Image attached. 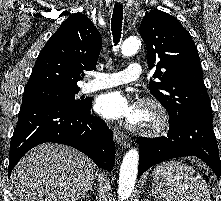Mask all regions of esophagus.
Returning a JSON list of instances; mask_svg holds the SVG:
<instances>
[{
	"label": "esophagus",
	"instance_id": "34e87169",
	"mask_svg": "<svg viewBox=\"0 0 221 201\" xmlns=\"http://www.w3.org/2000/svg\"><path fill=\"white\" fill-rule=\"evenodd\" d=\"M116 1L120 3L122 0H116ZM113 134H114V139L118 144H120V146L127 148L130 145V138L126 134L120 132L117 129L113 130Z\"/></svg>",
	"mask_w": 221,
	"mask_h": 201
}]
</instances>
